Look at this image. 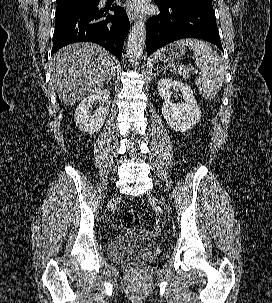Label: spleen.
Returning <instances> with one entry per match:
<instances>
[{
	"label": "spleen",
	"instance_id": "obj_1",
	"mask_svg": "<svg viewBox=\"0 0 272 303\" xmlns=\"http://www.w3.org/2000/svg\"><path fill=\"white\" fill-rule=\"evenodd\" d=\"M179 46H188L194 51L195 64L201 76L195 81L197 88L206 100H213L224 82L225 64L212 47L199 39H183Z\"/></svg>",
	"mask_w": 272,
	"mask_h": 303
}]
</instances>
